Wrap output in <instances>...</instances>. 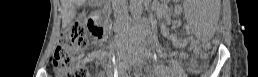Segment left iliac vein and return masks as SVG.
<instances>
[{
	"instance_id": "obj_1",
	"label": "left iliac vein",
	"mask_w": 258,
	"mask_h": 77,
	"mask_svg": "<svg viewBox=\"0 0 258 77\" xmlns=\"http://www.w3.org/2000/svg\"><path fill=\"white\" fill-rule=\"evenodd\" d=\"M136 58L138 59V63H142V56L140 54H136Z\"/></svg>"
}]
</instances>
